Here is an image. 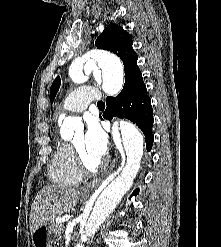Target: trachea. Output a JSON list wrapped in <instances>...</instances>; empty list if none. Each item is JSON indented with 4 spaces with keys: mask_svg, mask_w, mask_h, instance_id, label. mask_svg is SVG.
I'll use <instances>...</instances> for the list:
<instances>
[{
    "mask_svg": "<svg viewBox=\"0 0 221 247\" xmlns=\"http://www.w3.org/2000/svg\"><path fill=\"white\" fill-rule=\"evenodd\" d=\"M97 106L99 109H104L105 108V103L103 101L97 102Z\"/></svg>",
    "mask_w": 221,
    "mask_h": 247,
    "instance_id": "trachea-1",
    "label": "trachea"
}]
</instances>
